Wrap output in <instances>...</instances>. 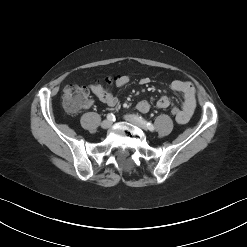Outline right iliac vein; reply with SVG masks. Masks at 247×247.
<instances>
[{
    "instance_id": "right-iliac-vein-1",
    "label": "right iliac vein",
    "mask_w": 247,
    "mask_h": 247,
    "mask_svg": "<svg viewBox=\"0 0 247 247\" xmlns=\"http://www.w3.org/2000/svg\"><path fill=\"white\" fill-rule=\"evenodd\" d=\"M111 125H112V121H110V120H104V121L101 123V127H102L103 129H108V128L111 127Z\"/></svg>"
}]
</instances>
